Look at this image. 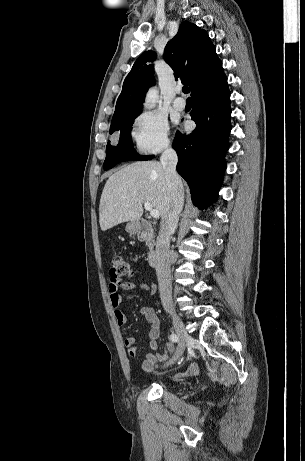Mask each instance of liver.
I'll use <instances>...</instances> for the list:
<instances>
[{"label":"liver","mask_w":305,"mask_h":461,"mask_svg":"<svg viewBox=\"0 0 305 461\" xmlns=\"http://www.w3.org/2000/svg\"><path fill=\"white\" fill-rule=\"evenodd\" d=\"M169 195L161 163H132L111 175L104 186L99 205L100 228L106 231L123 222H138L147 201L163 217Z\"/></svg>","instance_id":"1"}]
</instances>
